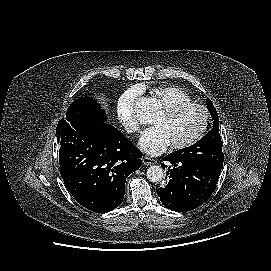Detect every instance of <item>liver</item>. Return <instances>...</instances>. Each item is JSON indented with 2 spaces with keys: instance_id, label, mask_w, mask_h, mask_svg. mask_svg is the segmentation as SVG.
Instances as JSON below:
<instances>
[{
  "instance_id": "obj_1",
  "label": "liver",
  "mask_w": 271,
  "mask_h": 271,
  "mask_svg": "<svg viewBox=\"0 0 271 271\" xmlns=\"http://www.w3.org/2000/svg\"><path fill=\"white\" fill-rule=\"evenodd\" d=\"M106 99L102 97V103L107 106Z\"/></svg>"
}]
</instances>
